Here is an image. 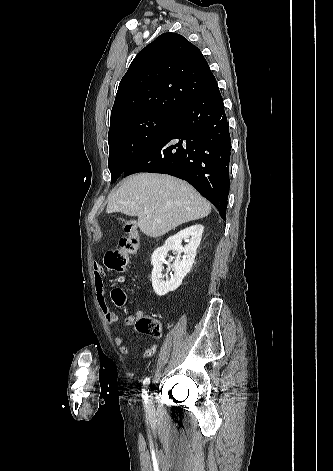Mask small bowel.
<instances>
[{
	"instance_id": "c3829d8e",
	"label": "small bowel",
	"mask_w": 333,
	"mask_h": 471,
	"mask_svg": "<svg viewBox=\"0 0 333 471\" xmlns=\"http://www.w3.org/2000/svg\"><path fill=\"white\" fill-rule=\"evenodd\" d=\"M93 269H94V286H95V293H96V299H97L98 305L105 316L106 322L109 325H117L119 323V317L116 313L112 312L109 309L107 305L106 297H105L104 281H103V277L105 276V271L103 267L97 262L94 263ZM140 314L141 313H136L134 315L127 316L124 320L125 325L132 326ZM114 343L119 349L120 353H122L123 355H130L132 353L131 349L125 345L124 338L122 336H117L114 340ZM156 349H157L156 345H152L150 348L144 351L142 355L144 357H151L156 352Z\"/></svg>"
}]
</instances>
